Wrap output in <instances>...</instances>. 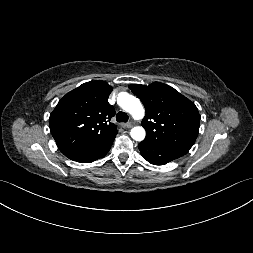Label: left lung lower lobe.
Masks as SVG:
<instances>
[{"label":"left lung lower lobe","mask_w":253,"mask_h":253,"mask_svg":"<svg viewBox=\"0 0 253 253\" xmlns=\"http://www.w3.org/2000/svg\"><path fill=\"white\" fill-rule=\"evenodd\" d=\"M138 148L141 152V155L148 162L154 165L166 164L186 154V152L179 149L165 147L144 141L138 145Z\"/></svg>","instance_id":"obj_1"}]
</instances>
